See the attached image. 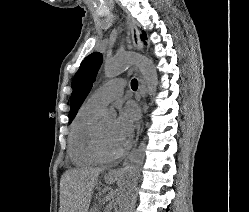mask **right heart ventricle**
<instances>
[{"label": "right heart ventricle", "instance_id": "right-heart-ventricle-1", "mask_svg": "<svg viewBox=\"0 0 249 212\" xmlns=\"http://www.w3.org/2000/svg\"><path fill=\"white\" fill-rule=\"evenodd\" d=\"M101 108L88 100L77 110L71 123L68 138V154L72 163L78 167L100 164L92 140L94 125Z\"/></svg>", "mask_w": 249, "mask_h": 212}]
</instances>
